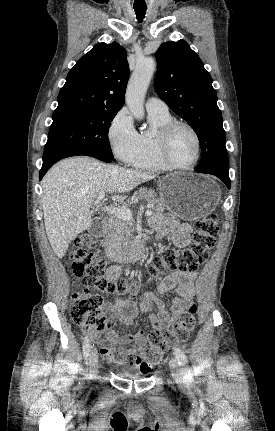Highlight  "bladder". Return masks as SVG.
Masks as SVG:
<instances>
[{"label": "bladder", "mask_w": 275, "mask_h": 431, "mask_svg": "<svg viewBox=\"0 0 275 431\" xmlns=\"http://www.w3.org/2000/svg\"><path fill=\"white\" fill-rule=\"evenodd\" d=\"M121 371V373H123V374H127V375H132V376H134V377H140V376H142V375H146L145 373H140V372H129V371H127L126 369H121L120 370Z\"/></svg>", "instance_id": "1"}]
</instances>
